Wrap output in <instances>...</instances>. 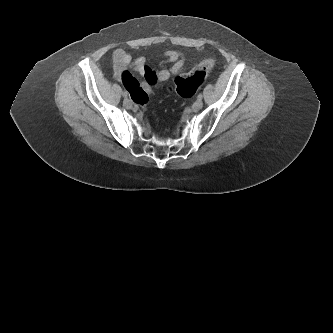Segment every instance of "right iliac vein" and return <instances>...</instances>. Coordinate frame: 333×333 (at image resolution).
<instances>
[{
	"mask_svg": "<svg viewBox=\"0 0 333 333\" xmlns=\"http://www.w3.org/2000/svg\"><path fill=\"white\" fill-rule=\"evenodd\" d=\"M123 104L127 109H132V107H133L132 102L128 98L124 99Z\"/></svg>",
	"mask_w": 333,
	"mask_h": 333,
	"instance_id": "obj_1",
	"label": "right iliac vein"
}]
</instances>
